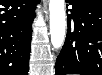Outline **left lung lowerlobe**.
<instances>
[{
  "label": "left lung lower lobe",
  "mask_w": 102,
  "mask_h": 75,
  "mask_svg": "<svg viewBox=\"0 0 102 75\" xmlns=\"http://www.w3.org/2000/svg\"><path fill=\"white\" fill-rule=\"evenodd\" d=\"M67 37L55 75H102V0H68Z\"/></svg>",
  "instance_id": "left-lung-lower-lobe-1"
}]
</instances>
